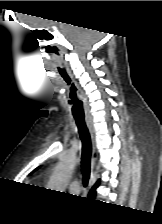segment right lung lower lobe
Instances as JSON below:
<instances>
[{
  "instance_id": "obj_1",
  "label": "right lung lower lobe",
  "mask_w": 162,
  "mask_h": 224,
  "mask_svg": "<svg viewBox=\"0 0 162 224\" xmlns=\"http://www.w3.org/2000/svg\"><path fill=\"white\" fill-rule=\"evenodd\" d=\"M95 195V194H94ZM94 195L90 194V196L94 197Z\"/></svg>"
}]
</instances>
